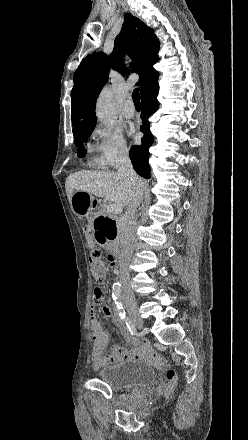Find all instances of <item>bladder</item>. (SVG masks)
Listing matches in <instances>:
<instances>
[{"label":"bladder","mask_w":248,"mask_h":440,"mask_svg":"<svg viewBox=\"0 0 248 440\" xmlns=\"http://www.w3.org/2000/svg\"><path fill=\"white\" fill-rule=\"evenodd\" d=\"M155 378L154 370L138 360H123L104 366L97 372V379L114 389L140 388Z\"/></svg>","instance_id":"1"}]
</instances>
